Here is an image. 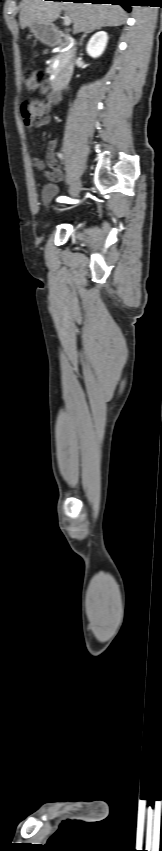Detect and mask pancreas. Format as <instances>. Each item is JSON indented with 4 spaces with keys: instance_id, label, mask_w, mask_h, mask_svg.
<instances>
[{
    "instance_id": "pancreas-1",
    "label": "pancreas",
    "mask_w": 162,
    "mask_h": 851,
    "mask_svg": "<svg viewBox=\"0 0 162 851\" xmlns=\"http://www.w3.org/2000/svg\"><path fill=\"white\" fill-rule=\"evenodd\" d=\"M59 50H62V46L59 47ZM71 54H72L71 51H67V52L59 51V52H57L55 58L52 61V64L48 68V72L50 74L57 75L60 72V70L68 63ZM55 63H57L56 67H54Z\"/></svg>"
}]
</instances>
